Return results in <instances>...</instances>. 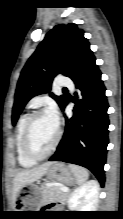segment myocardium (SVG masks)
<instances>
[{"instance_id":"f54148a6","label":"myocardium","mask_w":123,"mask_h":219,"mask_svg":"<svg viewBox=\"0 0 123 219\" xmlns=\"http://www.w3.org/2000/svg\"><path fill=\"white\" fill-rule=\"evenodd\" d=\"M42 114H48V111L44 110V109H39V110H36V111L32 112L31 114H29L28 119H27L26 124H25V127H24V132H23V137H22L23 151L29 159L34 160V161H40V160H43V159L47 158L48 156H50L57 148V146L61 140V136H62L61 126L59 123H57L56 137H55L52 145L50 146V148L42 154H37L31 149V146H30L31 127H32L34 120L39 115H42Z\"/></svg>"}]
</instances>
